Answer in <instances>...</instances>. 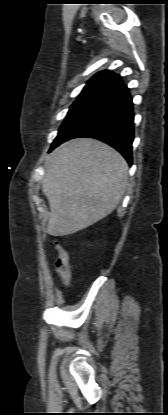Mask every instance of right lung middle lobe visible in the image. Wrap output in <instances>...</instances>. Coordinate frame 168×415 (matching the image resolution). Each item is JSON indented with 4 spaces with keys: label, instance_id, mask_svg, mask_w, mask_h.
Returning a JSON list of instances; mask_svg holds the SVG:
<instances>
[{
    "label": "right lung middle lobe",
    "instance_id": "obj_1",
    "mask_svg": "<svg viewBox=\"0 0 168 415\" xmlns=\"http://www.w3.org/2000/svg\"><path fill=\"white\" fill-rule=\"evenodd\" d=\"M97 97L98 94L81 93L80 96L76 99V101L71 105L67 117L64 120L62 126H64L81 108H83L86 104H88L90 101L94 100Z\"/></svg>",
    "mask_w": 168,
    "mask_h": 415
}]
</instances>
